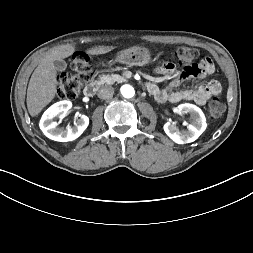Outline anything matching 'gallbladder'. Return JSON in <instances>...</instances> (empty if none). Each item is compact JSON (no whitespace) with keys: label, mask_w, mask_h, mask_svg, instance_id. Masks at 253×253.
I'll return each mask as SVG.
<instances>
[{"label":"gallbladder","mask_w":253,"mask_h":253,"mask_svg":"<svg viewBox=\"0 0 253 253\" xmlns=\"http://www.w3.org/2000/svg\"><path fill=\"white\" fill-rule=\"evenodd\" d=\"M54 66L57 71H65L67 64L64 60L62 59H57L54 61Z\"/></svg>","instance_id":"obj_1"}]
</instances>
